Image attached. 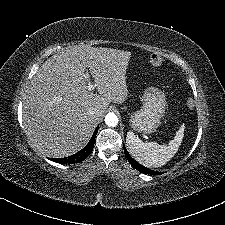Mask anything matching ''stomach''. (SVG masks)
I'll return each instance as SVG.
<instances>
[{
  "mask_svg": "<svg viewBox=\"0 0 225 225\" xmlns=\"http://www.w3.org/2000/svg\"><path fill=\"white\" fill-rule=\"evenodd\" d=\"M166 101L162 92L157 89H148L143 96V105L140 110L129 117L131 128L142 134L156 131L165 112Z\"/></svg>",
  "mask_w": 225,
  "mask_h": 225,
  "instance_id": "1",
  "label": "stomach"
}]
</instances>
